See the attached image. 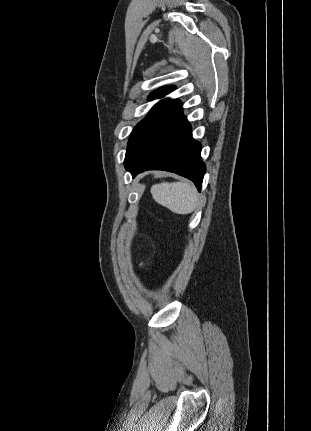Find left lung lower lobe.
Masks as SVG:
<instances>
[{
	"label": "left lung lower lobe",
	"instance_id": "1",
	"mask_svg": "<svg viewBox=\"0 0 311 431\" xmlns=\"http://www.w3.org/2000/svg\"><path fill=\"white\" fill-rule=\"evenodd\" d=\"M200 152L201 144L192 138L180 101L170 100L127 148L124 165L133 177L149 169L174 172L192 180L200 191L206 171Z\"/></svg>",
	"mask_w": 311,
	"mask_h": 431
}]
</instances>
